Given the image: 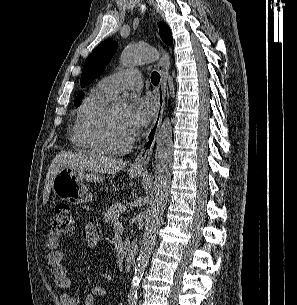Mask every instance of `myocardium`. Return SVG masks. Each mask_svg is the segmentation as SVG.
Listing matches in <instances>:
<instances>
[{"label": "myocardium", "mask_w": 297, "mask_h": 305, "mask_svg": "<svg viewBox=\"0 0 297 305\" xmlns=\"http://www.w3.org/2000/svg\"><path fill=\"white\" fill-rule=\"evenodd\" d=\"M95 134L98 141L103 146V148L110 153H123L128 151L134 144V140L131 139L123 145L115 144L110 137L109 132V110L105 109L95 124Z\"/></svg>", "instance_id": "1"}]
</instances>
